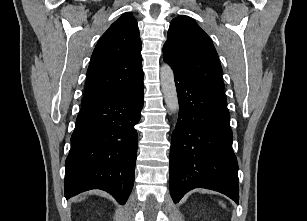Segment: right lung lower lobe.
Instances as JSON below:
<instances>
[{"label":"right lung lower lobe","mask_w":307,"mask_h":221,"mask_svg":"<svg viewBox=\"0 0 307 221\" xmlns=\"http://www.w3.org/2000/svg\"><path fill=\"white\" fill-rule=\"evenodd\" d=\"M143 80L136 86L81 106L65 167V197L101 189L125 204L134 183L138 146L135 125L143 107Z\"/></svg>","instance_id":"1"}]
</instances>
